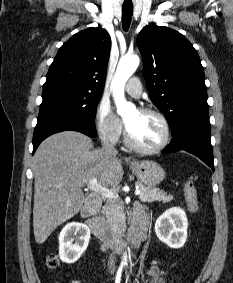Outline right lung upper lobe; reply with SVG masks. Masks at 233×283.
<instances>
[{"mask_svg":"<svg viewBox=\"0 0 233 283\" xmlns=\"http://www.w3.org/2000/svg\"><path fill=\"white\" fill-rule=\"evenodd\" d=\"M111 38L105 29L91 27L74 34L58 50L45 84H66L103 92Z\"/></svg>","mask_w":233,"mask_h":283,"instance_id":"cb5924a9","label":"right lung upper lobe"}]
</instances>
